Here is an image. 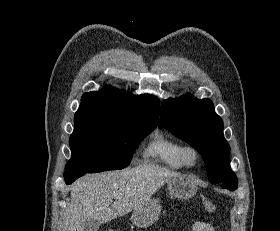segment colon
<instances>
[{
  "label": "colon",
  "mask_w": 280,
  "mask_h": 231,
  "mask_svg": "<svg viewBox=\"0 0 280 231\" xmlns=\"http://www.w3.org/2000/svg\"><path fill=\"white\" fill-rule=\"evenodd\" d=\"M203 207L209 213H214L216 211L215 204L210 199L207 198L203 199Z\"/></svg>",
  "instance_id": "obj_1"
}]
</instances>
